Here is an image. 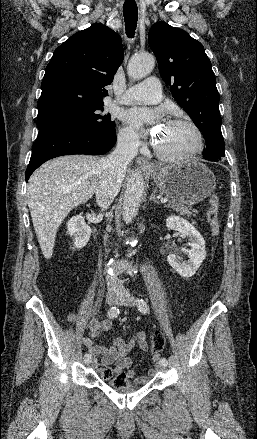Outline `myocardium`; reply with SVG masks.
Returning <instances> with one entry per match:
<instances>
[{
  "mask_svg": "<svg viewBox=\"0 0 257 439\" xmlns=\"http://www.w3.org/2000/svg\"><path fill=\"white\" fill-rule=\"evenodd\" d=\"M166 124L189 126L195 134L196 147L187 153L170 154V153H166L163 150H161L157 146V144H154V151H155V154L157 155V157H159L160 159H162L164 161H168V162H182V161L194 159L195 157H197L198 155L201 154V152L204 149V137H203V133H202L201 129L198 127V125L196 123H194L190 119L175 118V119L169 120Z\"/></svg>",
  "mask_w": 257,
  "mask_h": 439,
  "instance_id": "myocardium-1",
  "label": "myocardium"
}]
</instances>
